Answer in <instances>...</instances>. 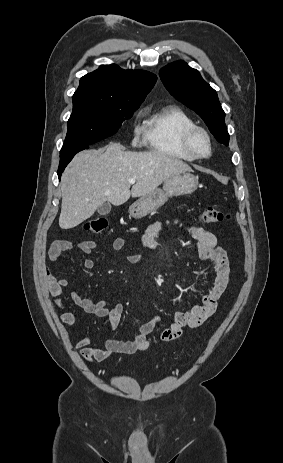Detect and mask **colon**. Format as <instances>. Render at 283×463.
Here are the masks:
<instances>
[{"instance_id":"1","label":"colon","mask_w":283,"mask_h":463,"mask_svg":"<svg viewBox=\"0 0 283 463\" xmlns=\"http://www.w3.org/2000/svg\"><path fill=\"white\" fill-rule=\"evenodd\" d=\"M200 218L204 223L217 224L223 222L226 218V215L219 209L207 207L202 210ZM106 227L107 220L102 217L90 219L85 223L86 231L93 234L101 233L106 229Z\"/></svg>"}]
</instances>
